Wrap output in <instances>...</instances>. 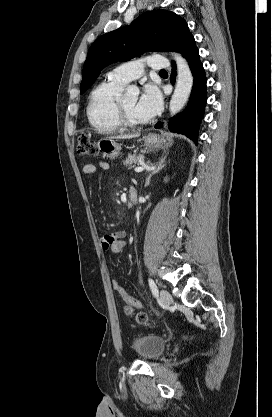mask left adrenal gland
<instances>
[{
    "label": "left adrenal gland",
    "instance_id": "left-adrenal-gland-1",
    "mask_svg": "<svg viewBox=\"0 0 272 417\" xmlns=\"http://www.w3.org/2000/svg\"><path fill=\"white\" fill-rule=\"evenodd\" d=\"M165 167V158H160L157 162L156 167L151 171V173L146 178L145 187H147L150 184L151 177L158 173L160 170H162Z\"/></svg>",
    "mask_w": 272,
    "mask_h": 417
}]
</instances>
